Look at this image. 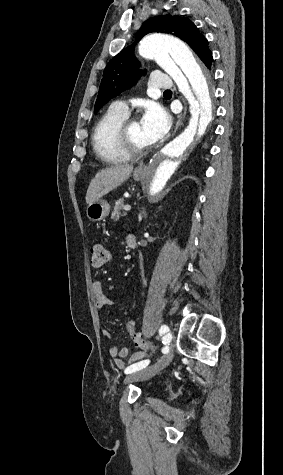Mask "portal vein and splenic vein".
Segmentation results:
<instances>
[{"mask_svg": "<svg viewBox=\"0 0 283 475\" xmlns=\"http://www.w3.org/2000/svg\"><path fill=\"white\" fill-rule=\"evenodd\" d=\"M123 210H126V212H128V210H131V206H124Z\"/></svg>", "mask_w": 283, "mask_h": 475, "instance_id": "portal-vein-and-splenic-vein-1", "label": "portal vein and splenic vein"}]
</instances>
